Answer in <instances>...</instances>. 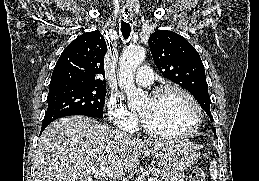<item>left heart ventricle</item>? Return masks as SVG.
<instances>
[{
	"label": "left heart ventricle",
	"mask_w": 259,
	"mask_h": 181,
	"mask_svg": "<svg viewBox=\"0 0 259 181\" xmlns=\"http://www.w3.org/2000/svg\"><path fill=\"white\" fill-rule=\"evenodd\" d=\"M139 112L154 129L165 132H181L194 126L196 114L189 100L171 90L155 99L148 97Z\"/></svg>",
	"instance_id": "1"
}]
</instances>
